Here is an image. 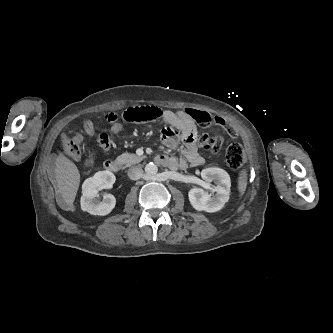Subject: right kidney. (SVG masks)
I'll use <instances>...</instances> for the list:
<instances>
[{"instance_id":"ca27d5eb","label":"right kidney","mask_w":333,"mask_h":333,"mask_svg":"<svg viewBox=\"0 0 333 333\" xmlns=\"http://www.w3.org/2000/svg\"><path fill=\"white\" fill-rule=\"evenodd\" d=\"M115 179V175L110 171H99L93 177L86 179L82 185L81 209L92 215L109 214L115 207L116 199L111 194H105L100 201L99 191L111 188Z\"/></svg>"}]
</instances>
